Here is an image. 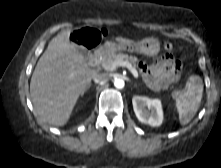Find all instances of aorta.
Masks as SVG:
<instances>
[{"label":"aorta","mask_w":221,"mask_h":168,"mask_svg":"<svg viewBox=\"0 0 221 168\" xmlns=\"http://www.w3.org/2000/svg\"><path fill=\"white\" fill-rule=\"evenodd\" d=\"M124 85H125V83H124V80H123V79L117 78V79L114 80V86H115L116 88L122 89V88H124Z\"/></svg>","instance_id":"1"}]
</instances>
